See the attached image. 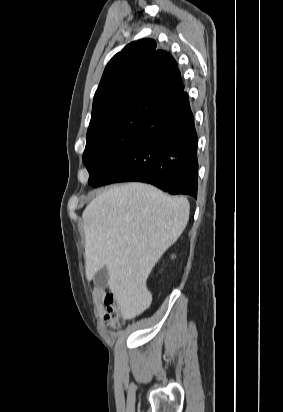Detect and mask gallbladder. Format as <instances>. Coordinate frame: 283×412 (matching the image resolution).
Returning <instances> with one entry per match:
<instances>
[{"label": "gallbladder", "mask_w": 283, "mask_h": 412, "mask_svg": "<svg viewBox=\"0 0 283 412\" xmlns=\"http://www.w3.org/2000/svg\"><path fill=\"white\" fill-rule=\"evenodd\" d=\"M94 284L101 289H104L108 284L109 273L106 266L98 270L94 275Z\"/></svg>", "instance_id": "obj_1"}]
</instances>
